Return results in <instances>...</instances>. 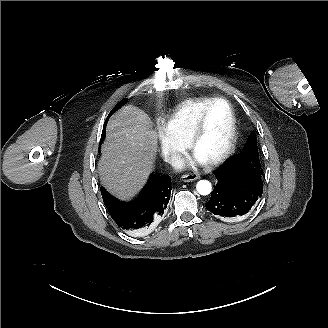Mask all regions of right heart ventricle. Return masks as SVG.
<instances>
[{
    "label": "right heart ventricle",
    "mask_w": 328,
    "mask_h": 328,
    "mask_svg": "<svg viewBox=\"0 0 328 328\" xmlns=\"http://www.w3.org/2000/svg\"><path fill=\"white\" fill-rule=\"evenodd\" d=\"M213 97H195L179 103L174 108L156 116V122L174 142L186 145L191 128L200 113Z\"/></svg>",
    "instance_id": "right-heart-ventricle-1"
}]
</instances>
